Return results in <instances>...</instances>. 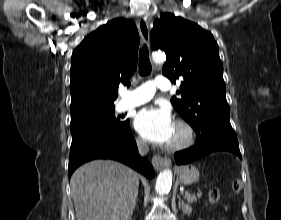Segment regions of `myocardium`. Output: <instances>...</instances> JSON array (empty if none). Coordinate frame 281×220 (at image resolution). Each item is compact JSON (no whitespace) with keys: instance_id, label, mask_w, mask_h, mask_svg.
I'll list each match as a JSON object with an SVG mask.
<instances>
[{"instance_id":"myocardium-1","label":"myocardium","mask_w":281,"mask_h":220,"mask_svg":"<svg viewBox=\"0 0 281 220\" xmlns=\"http://www.w3.org/2000/svg\"><path fill=\"white\" fill-rule=\"evenodd\" d=\"M175 125L182 129L184 133V138L182 141L172 145H166L165 148L168 151L175 152L186 149L190 147L195 140V130L194 127L184 119H177Z\"/></svg>"}]
</instances>
